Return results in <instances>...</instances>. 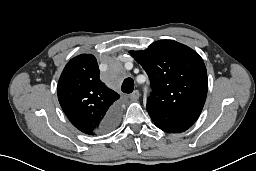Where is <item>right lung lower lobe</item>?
<instances>
[{"label": "right lung lower lobe", "instance_id": "right-lung-lower-lobe-1", "mask_svg": "<svg viewBox=\"0 0 256 171\" xmlns=\"http://www.w3.org/2000/svg\"><path fill=\"white\" fill-rule=\"evenodd\" d=\"M119 114L120 109L117 105L111 108L102 123L103 129L106 131L113 129L119 121Z\"/></svg>", "mask_w": 256, "mask_h": 171}]
</instances>
